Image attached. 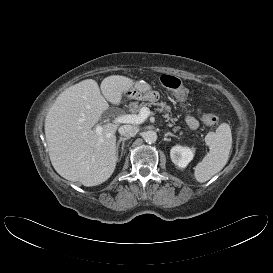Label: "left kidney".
<instances>
[{
  "label": "left kidney",
  "instance_id": "left-kidney-1",
  "mask_svg": "<svg viewBox=\"0 0 273 273\" xmlns=\"http://www.w3.org/2000/svg\"><path fill=\"white\" fill-rule=\"evenodd\" d=\"M194 151V148L176 145L171 149L170 157L175 165L180 168H185L193 159Z\"/></svg>",
  "mask_w": 273,
  "mask_h": 273
}]
</instances>
